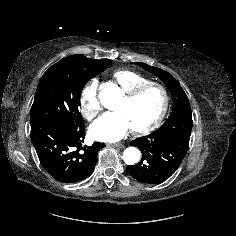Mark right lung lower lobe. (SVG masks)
Returning <instances> with one entry per match:
<instances>
[{
	"label": "right lung lower lobe",
	"mask_w": 236,
	"mask_h": 236,
	"mask_svg": "<svg viewBox=\"0 0 236 236\" xmlns=\"http://www.w3.org/2000/svg\"><path fill=\"white\" fill-rule=\"evenodd\" d=\"M84 126L72 128L56 121L31 122V140L40 163L57 181L74 183L89 177L94 171L97 153L105 147L95 142L83 145Z\"/></svg>",
	"instance_id": "1"
}]
</instances>
